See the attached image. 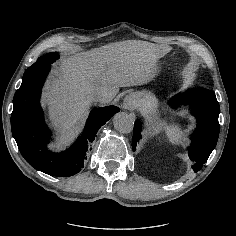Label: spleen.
Returning a JSON list of instances; mask_svg holds the SVG:
<instances>
[{
	"mask_svg": "<svg viewBox=\"0 0 236 236\" xmlns=\"http://www.w3.org/2000/svg\"><path fill=\"white\" fill-rule=\"evenodd\" d=\"M167 136L174 142H178V134L179 132L176 131L175 129L168 127L166 130Z\"/></svg>",
	"mask_w": 236,
	"mask_h": 236,
	"instance_id": "3e777b00",
	"label": "spleen"
}]
</instances>
